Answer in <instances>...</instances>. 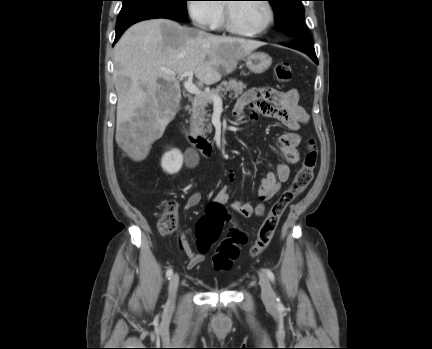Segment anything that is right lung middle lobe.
I'll return each mask as SVG.
<instances>
[{"label": "right lung middle lobe", "instance_id": "obj_1", "mask_svg": "<svg viewBox=\"0 0 432 349\" xmlns=\"http://www.w3.org/2000/svg\"><path fill=\"white\" fill-rule=\"evenodd\" d=\"M118 22L142 14H159L175 21L187 18V0H121Z\"/></svg>", "mask_w": 432, "mask_h": 349}]
</instances>
